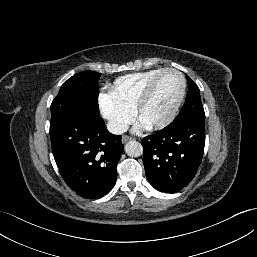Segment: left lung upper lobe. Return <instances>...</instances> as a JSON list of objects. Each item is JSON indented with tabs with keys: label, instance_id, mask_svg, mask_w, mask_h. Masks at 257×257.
<instances>
[{
	"label": "left lung upper lobe",
	"instance_id": "1",
	"mask_svg": "<svg viewBox=\"0 0 257 257\" xmlns=\"http://www.w3.org/2000/svg\"><path fill=\"white\" fill-rule=\"evenodd\" d=\"M188 81V92L185 104L174 121L182 120L188 117H204L205 113L200 98V90L198 86L186 76Z\"/></svg>",
	"mask_w": 257,
	"mask_h": 257
}]
</instances>
